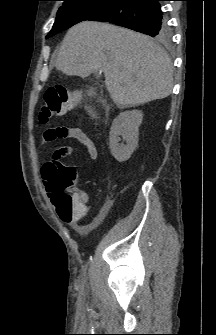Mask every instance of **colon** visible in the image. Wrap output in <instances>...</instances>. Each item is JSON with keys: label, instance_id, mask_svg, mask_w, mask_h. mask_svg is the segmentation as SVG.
I'll list each match as a JSON object with an SVG mask.
<instances>
[{"label": "colon", "instance_id": "1", "mask_svg": "<svg viewBox=\"0 0 216 335\" xmlns=\"http://www.w3.org/2000/svg\"><path fill=\"white\" fill-rule=\"evenodd\" d=\"M83 95L78 91H70L63 86L50 87L44 94V102L39 111L41 124H46L52 117L65 114L67 111L84 103ZM97 104L90 106L91 113L97 112ZM69 153L68 147L57 150L56 155L63 157ZM53 166L50 170V194L56 202L59 215L63 218L79 208L74 200L73 189L77 182V171L72 166L61 163L59 159H50L46 168Z\"/></svg>", "mask_w": 216, "mask_h": 335}]
</instances>
